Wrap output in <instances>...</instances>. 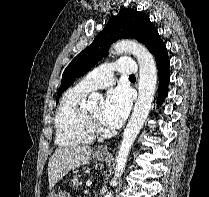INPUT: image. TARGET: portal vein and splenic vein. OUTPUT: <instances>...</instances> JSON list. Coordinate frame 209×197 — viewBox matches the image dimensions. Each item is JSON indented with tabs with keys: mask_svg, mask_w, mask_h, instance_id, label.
I'll return each mask as SVG.
<instances>
[{
	"mask_svg": "<svg viewBox=\"0 0 209 197\" xmlns=\"http://www.w3.org/2000/svg\"><path fill=\"white\" fill-rule=\"evenodd\" d=\"M92 185V181L91 180H88L87 182H86V186L87 187H90Z\"/></svg>",
	"mask_w": 209,
	"mask_h": 197,
	"instance_id": "obj_1",
	"label": "portal vein and splenic vein"
}]
</instances>
